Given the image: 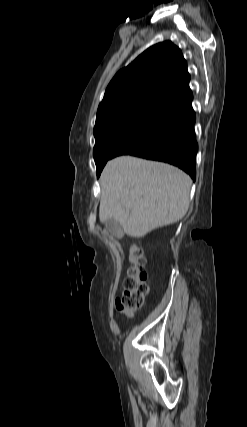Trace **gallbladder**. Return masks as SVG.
I'll list each match as a JSON object with an SVG mask.
<instances>
[{
    "label": "gallbladder",
    "instance_id": "obj_1",
    "mask_svg": "<svg viewBox=\"0 0 247 427\" xmlns=\"http://www.w3.org/2000/svg\"><path fill=\"white\" fill-rule=\"evenodd\" d=\"M108 231L115 237L120 238L123 235V230L121 225L114 218H108L104 222Z\"/></svg>",
    "mask_w": 247,
    "mask_h": 427
}]
</instances>
